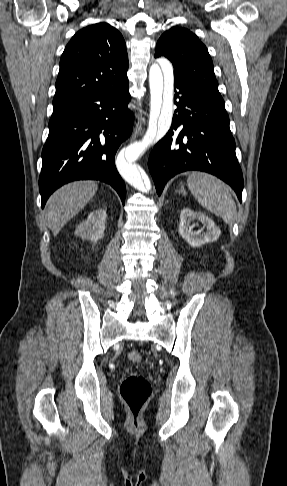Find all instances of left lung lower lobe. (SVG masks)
<instances>
[{"label": "left lung lower lobe", "mask_w": 287, "mask_h": 486, "mask_svg": "<svg viewBox=\"0 0 287 486\" xmlns=\"http://www.w3.org/2000/svg\"><path fill=\"white\" fill-rule=\"evenodd\" d=\"M174 90L177 109L172 125L148 161L158 195L176 174L200 170L228 183L241 201L243 175L225 105L180 77H175Z\"/></svg>", "instance_id": "0a47b994"}]
</instances>
